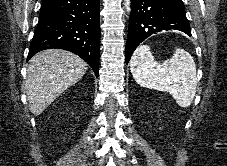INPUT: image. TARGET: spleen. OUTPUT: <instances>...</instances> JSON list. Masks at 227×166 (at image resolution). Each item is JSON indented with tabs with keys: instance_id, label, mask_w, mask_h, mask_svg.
Instances as JSON below:
<instances>
[{
	"instance_id": "3e777b00",
	"label": "spleen",
	"mask_w": 227,
	"mask_h": 166,
	"mask_svg": "<svg viewBox=\"0 0 227 166\" xmlns=\"http://www.w3.org/2000/svg\"><path fill=\"white\" fill-rule=\"evenodd\" d=\"M130 70L139 85L170 93L180 107L186 108L193 102L197 73L193 57L187 51L175 48L170 59L158 63L150 47L141 45L131 57Z\"/></svg>"
}]
</instances>
